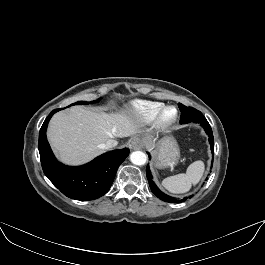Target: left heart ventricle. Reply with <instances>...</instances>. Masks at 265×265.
<instances>
[{"label":"left heart ventricle","instance_id":"left-heart-ventricle-1","mask_svg":"<svg viewBox=\"0 0 265 265\" xmlns=\"http://www.w3.org/2000/svg\"><path fill=\"white\" fill-rule=\"evenodd\" d=\"M172 114H173V111H168L167 114H166V116L167 117H170Z\"/></svg>","mask_w":265,"mask_h":265}]
</instances>
